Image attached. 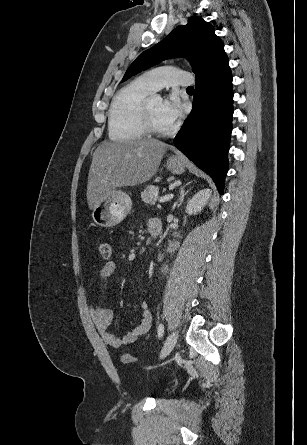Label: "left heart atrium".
I'll list each match as a JSON object with an SVG mask.
<instances>
[{"label":"left heart atrium","mask_w":307,"mask_h":445,"mask_svg":"<svg viewBox=\"0 0 307 445\" xmlns=\"http://www.w3.org/2000/svg\"><path fill=\"white\" fill-rule=\"evenodd\" d=\"M163 115L172 124L182 115V103L176 92H170L163 100Z\"/></svg>","instance_id":"obj_1"}]
</instances>
